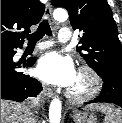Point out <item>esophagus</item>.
Returning a JSON list of instances; mask_svg holds the SVG:
<instances>
[{
  "instance_id": "34e87169",
  "label": "esophagus",
  "mask_w": 122,
  "mask_h": 123,
  "mask_svg": "<svg viewBox=\"0 0 122 123\" xmlns=\"http://www.w3.org/2000/svg\"><path fill=\"white\" fill-rule=\"evenodd\" d=\"M44 18L48 19L50 23H53V19H52V8L50 3H47L46 8H45V12H44ZM43 93L48 97V98H52L54 96V92L46 87L43 86Z\"/></svg>"
}]
</instances>
